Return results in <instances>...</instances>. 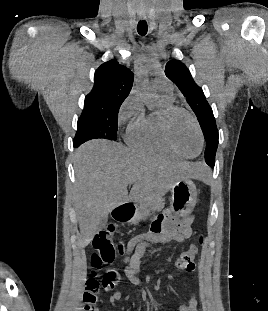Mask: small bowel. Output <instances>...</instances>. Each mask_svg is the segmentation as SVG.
<instances>
[{"label":"small bowel","instance_id":"c3829d8e","mask_svg":"<svg viewBox=\"0 0 268 311\" xmlns=\"http://www.w3.org/2000/svg\"><path fill=\"white\" fill-rule=\"evenodd\" d=\"M193 218H187L180 222L161 217L155 221L150 232L139 235L131 239L126 247V254L129 258L126 260L124 274L127 279L135 284L140 285L143 281L140 270V261L147 249L155 244H165L171 241L182 243L189 239L192 234L191 223ZM121 297L119 292L111 295V300H118ZM149 292H143V299L146 303L147 311L150 310ZM198 300L193 292L187 303L180 305L179 311H197Z\"/></svg>","mask_w":268,"mask_h":311}]
</instances>
